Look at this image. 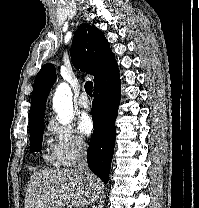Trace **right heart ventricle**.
<instances>
[{"instance_id": "right-heart-ventricle-1", "label": "right heart ventricle", "mask_w": 199, "mask_h": 208, "mask_svg": "<svg viewBox=\"0 0 199 208\" xmlns=\"http://www.w3.org/2000/svg\"><path fill=\"white\" fill-rule=\"evenodd\" d=\"M46 159H47L48 161H53V160H54V158L52 157L51 154L46 155Z\"/></svg>"}]
</instances>
